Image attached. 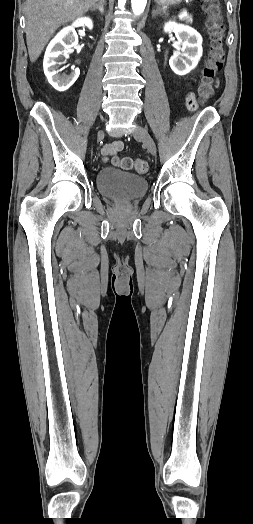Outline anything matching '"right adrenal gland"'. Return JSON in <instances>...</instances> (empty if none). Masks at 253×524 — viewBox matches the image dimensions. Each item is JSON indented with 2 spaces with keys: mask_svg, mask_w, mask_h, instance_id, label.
<instances>
[{
  "mask_svg": "<svg viewBox=\"0 0 253 524\" xmlns=\"http://www.w3.org/2000/svg\"><path fill=\"white\" fill-rule=\"evenodd\" d=\"M104 5H105V0H99L98 3H96L93 7H92V11H95V10H98L101 14H104Z\"/></svg>",
  "mask_w": 253,
  "mask_h": 524,
  "instance_id": "2a0ac1e0",
  "label": "right adrenal gland"
}]
</instances>
